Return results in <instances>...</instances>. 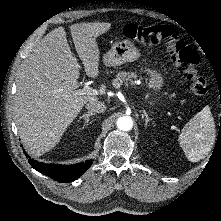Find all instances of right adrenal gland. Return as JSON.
<instances>
[{
	"label": "right adrenal gland",
	"instance_id": "right-adrenal-gland-1",
	"mask_svg": "<svg viewBox=\"0 0 221 221\" xmlns=\"http://www.w3.org/2000/svg\"><path fill=\"white\" fill-rule=\"evenodd\" d=\"M95 115V113H92V112H86L85 114H83L78 121H80L81 119H85V123H84V126L88 124L89 122V119L91 116Z\"/></svg>",
	"mask_w": 221,
	"mask_h": 221
}]
</instances>
